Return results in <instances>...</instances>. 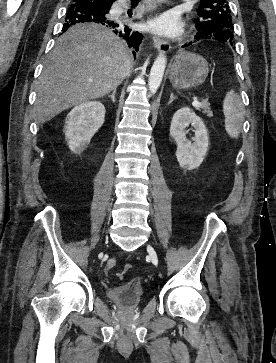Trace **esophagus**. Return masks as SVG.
Returning a JSON list of instances; mask_svg holds the SVG:
<instances>
[{
  "label": "esophagus",
  "mask_w": 276,
  "mask_h": 363,
  "mask_svg": "<svg viewBox=\"0 0 276 363\" xmlns=\"http://www.w3.org/2000/svg\"><path fill=\"white\" fill-rule=\"evenodd\" d=\"M154 45L159 52L167 53L171 50L170 44L157 36L154 37Z\"/></svg>",
  "instance_id": "1"
}]
</instances>
